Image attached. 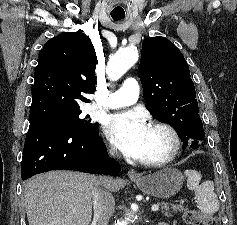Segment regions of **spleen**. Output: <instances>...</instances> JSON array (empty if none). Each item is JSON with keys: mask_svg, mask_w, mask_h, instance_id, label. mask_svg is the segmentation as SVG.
Here are the masks:
<instances>
[{"mask_svg": "<svg viewBox=\"0 0 237 225\" xmlns=\"http://www.w3.org/2000/svg\"><path fill=\"white\" fill-rule=\"evenodd\" d=\"M187 187L195 192L197 208L204 214H214L219 210V202L214 192V183L205 181L200 184L201 173L196 170H185Z\"/></svg>", "mask_w": 237, "mask_h": 225, "instance_id": "obj_1", "label": "spleen"}]
</instances>
